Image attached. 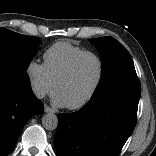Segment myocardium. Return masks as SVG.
<instances>
[{
  "label": "myocardium",
  "instance_id": "1",
  "mask_svg": "<svg viewBox=\"0 0 156 156\" xmlns=\"http://www.w3.org/2000/svg\"><path fill=\"white\" fill-rule=\"evenodd\" d=\"M86 56H93L97 59V61L99 63V67H100L99 76H98V79H97L96 84L94 85L93 89L90 91V93L83 100H81L80 102L73 104V105H66V107L70 110L81 109L84 106H86L88 103H90L94 99L96 94L98 93V91L101 88V85L103 83V80H104V75H105L104 59L97 52L86 50L84 52H81L80 54H78L77 56H75L72 59V61L69 63V65L67 66L65 71L62 73V75L56 80L55 86H54V91L56 92L58 87L72 75L77 63L82 58H84Z\"/></svg>",
  "mask_w": 156,
  "mask_h": 156
}]
</instances>
